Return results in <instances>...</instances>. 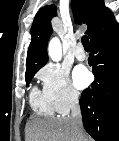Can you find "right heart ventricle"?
<instances>
[{
    "label": "right heart ventricle",
    "instance_id": "obj_1",
    "mask_svg": "<svg viewBox=\"0 0 119 141\" xmlns=\"http://www.w3.org/2000/svg\"><path fill=\"white\" fill-rule=\"evenodd\" d=\"M30 103L33 110L42 116L51 117L55 113V109L43 91L41 92L37 88H33L30 93Z\"/></svg>",
    "mask_w": 119,
    "mask_h": 141
}]
</instances>
